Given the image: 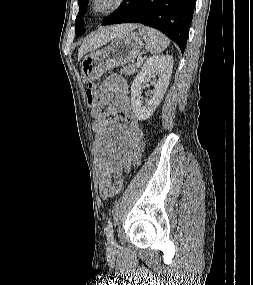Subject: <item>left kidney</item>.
I'll use <instances>...</instances> for the list:
<instances>
[{
  "instance_id": "5707ae66",
  "label": "left kidney",
  "mask_w": 253,
  "mask_h": 285,
  "mask_svg": "<svg viewBox=\"0 0 253 285\" xmlns=\"http://www.w3.org/2000/svg\"><path fill=\"white\" fill-rule=\"evenodd\" d=\"M172 68L173 57L169 55L153 56L142 66L131 85V105L138 120H147L160 104L169 85ZM151 78H153L151 84L154 86L153 96L143 104L142 87Z\"/></svg>"
}]
</instances>
